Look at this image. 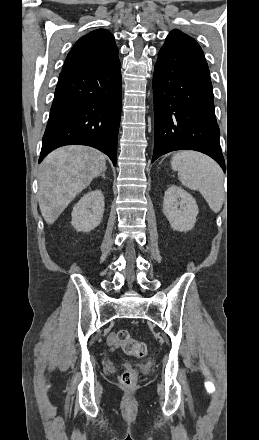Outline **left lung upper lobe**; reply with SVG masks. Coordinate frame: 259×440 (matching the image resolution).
Here are the masks:
<instances>
[{
    "instance_id": "1",
    "label": "left lung upper lobe",
    "mask_w": 259,
    "mask_h": 440,
    "mask_svg": "<svg viewBox=\"0 0 259 440\" xmlns=\"http://www.w3.org/2000/svg\"><path fill=\"white\" fill-rule=\"evenodd\" d=\"M170 34H180V35H185L182 32H180L179 30H173Z\"/></svg>"
}]
</instances>
